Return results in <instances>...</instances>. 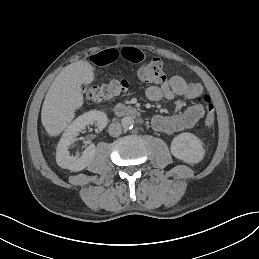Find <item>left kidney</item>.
<instances>
[{"label": "left kidney", "mask_w": 259, "mask_h": 259, "mask_svg": "<svg viewBox=\"0 0 259 259\" xmlns=\"http://www.w3.org/2000/svg\"><path fill=\"white\" fill-rule=\"evenodd\" d=\"M170 151L175 158L189 165L200 163L206 155L203 142L189 132L176 135L171 141Z\"/></svg>", "instance_id": "5707ae66"}]
</instances>
